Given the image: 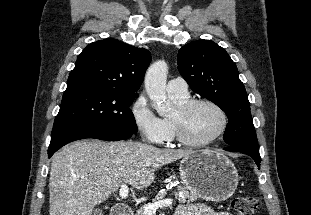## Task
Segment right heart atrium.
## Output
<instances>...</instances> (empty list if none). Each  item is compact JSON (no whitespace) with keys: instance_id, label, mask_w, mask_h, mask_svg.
Here are the masks:
<instances>
[{"instance_id":"obj_1","label":"right heart atrium","mask_w":311,"mask_h":215,"mask_svg":"<svg viewBox=\"0 0 311 215\" xmlns=\"http://www.w3.org/2000/svg\"><path fill=\"white\" fill-rule=\"evenodd\" d=\"M130 112L136 128L147 141L163 144L170 140L171 131L168 123L155 114L144 94L135 98Z\"/></svg>"}]
</instances>
